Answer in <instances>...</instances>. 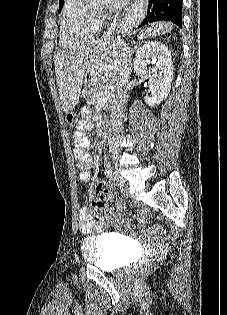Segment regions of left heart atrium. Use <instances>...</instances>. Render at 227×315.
<instances>
[{
	"label": "left heart atrium",
	"instance_id": "39dd6f15",
	"mask_svg": "<svg viewBox=\"0 0 227 315\" xmlns=\"http://www.w3.org/2000/svg\"><path fill=\"white\" fill-rule=\"evenodd\" d=\"M128 3V0H111V7L118 9L124 7Z\"/></svg>",
	"mask_w": 227,
	"mask_h": 315
}]
</instances>
